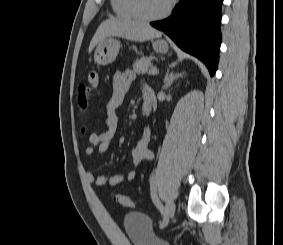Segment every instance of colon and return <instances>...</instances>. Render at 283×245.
I'll return each instance as SVG.
<instances>
[{"mask_svg":"<svg viewBox=\"0 0 283 245\" xmlns=\"http://www.w3.org/2000/svg\"><path fill=\"white\" fill-rule=\"evenodd\" d=\"M99 83V75L97 71L92 70L89 72L87 82L79 87V104L85 111L92 104V94L94 93ZM114 200L126 208H133L135 206L133 200L123 194H115Z\"/></svg>","mask_w":283,"mask_h":245,"instance_id":"colon-1","label":"colon"}]
</instances>
